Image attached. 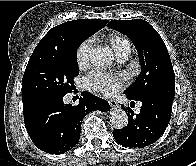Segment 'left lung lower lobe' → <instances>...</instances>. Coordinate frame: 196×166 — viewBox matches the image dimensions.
Returning a JSON list of instances; mask_svg holds the SVG:
<instances>
[{
	"mask_svg": "<svg viewBox=\"0 0 196 166\" xmlns=\"http://www.w3.org/2000/svg\"><path fill=\"white\" fill-rule=\"evenodd\" d=\"M134 101L142 102L140 113L134 115L128 107L127 126L113 130V136L124 147L141 148L154 143L164 133L171 118L173 100L160 95H147ZM134 101L130 106L135 104Z\"/></svg>",
	"mask_w": 196,
	"mask_h": 166,
	"instance_id": "obj_1",
	"label": "left lung lower lobe"
}]
</instances>
